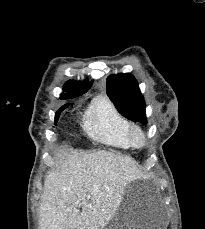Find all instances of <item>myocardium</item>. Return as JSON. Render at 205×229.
Wrapping results in <instances>:
<instances>
[{
  "mask_svg": "<svg viewBox=\"0 0 205 229\" xmlns=\"http://www.w3.org/2000/svg\"><path fill=\"white\" fill-rule=\"evenodd\" d=\"M128 139L132 147L143 148L147 143L145 132L139 126H131Z\"/></svg>",
  "mask_w": 205,
  "mask_h": 229,
  "instance_id": "1",
  "label": "myocardium"
}]
</instances>
